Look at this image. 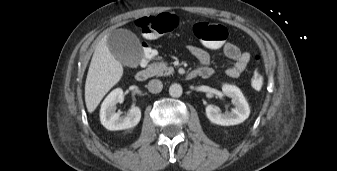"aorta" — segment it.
Segmentation results:
<instances>
[{
    "label": "aorta",
    "instance_id": "obj_1",
    "mask_svg": "<svg viewBox=\"0 0 337 171\" xmlns=\"http://www.w3.org/2000/svg\"><path fill=\"white\" fill-rule=\"evenodd\" d=\"M183 89L180 84L174 83L169 88V94L171 97L178 98L182 95Z\"/></svg>",
    "mask_w": 337,
    "mask_h": 171
}]
</instances>
